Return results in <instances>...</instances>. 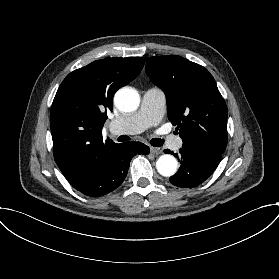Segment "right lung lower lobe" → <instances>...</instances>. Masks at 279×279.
Listing matches in <instances>:
<instances>
[{
    "mask_svg": "<svg viewBox=\"0 0 279 279\" xmlns=\"http://www.w3.org/2000/svg\"><path fill=\"white\" fill-rule=\"evenodd\" d=\"M149 147L140 142L118 144L108 156L105 165L93 175L85 184L75 187L89 197L103 196L124 181L130 161L136 154H148Z\"/></svg>",
    "mask_w": 279,
    "mask_h": 279,
    "instance_id": "1",
    "label": "right lung lower lobe"
}]
</instances>
